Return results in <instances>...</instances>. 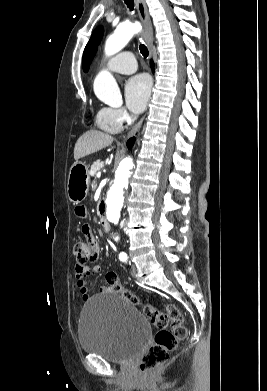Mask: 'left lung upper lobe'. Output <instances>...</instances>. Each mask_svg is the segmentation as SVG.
<instances>
[{
    "label": "left lung upper lobe",
    "instance_id": "1",
    "mask_svg": "<svg viewBox=\"0 0 267 391\" xmlns=\"http://www.w3.org/2000/svg\"><path fill=\"white\" fill-rule=\"evenodd\" d=\"M104 33V29L102 26L97 27L94 32L92 33V36L88 42V44L85 47L84 53H83V69L84 71H88L89 64L91 63L96 51L97 46L100 43L102 36Z\"/></svg>",
    "mask_w": 267,
    "mask_h": 391
}]
</instances>
